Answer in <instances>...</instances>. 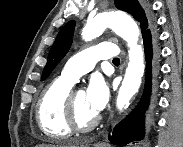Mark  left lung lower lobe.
I'll list each match as a JSON object with an SVG mask.
<instances>
[{"mask_svg":"<svg viewBox=\"0 0 183 147\" xmlns=\"http://www.w3.org/2000/svg\"><path fill=\"white\" fill-rule=\"evenodd\" d=\"M143 43L146 58L145 88L142 99L134 112L120 122L109 140L117 146H125L129 142L139 141L144 135V113L150 104L151 97L157 91L159 74V48L155 29L145 33Z\"/></svg>","mask_w":183,"mask_h":147,"instance_id":"0a47b994","label":"left lung lower lobe"}]
</instances>
